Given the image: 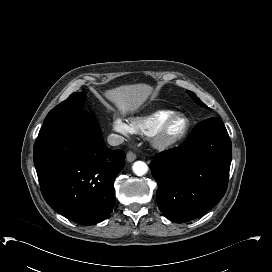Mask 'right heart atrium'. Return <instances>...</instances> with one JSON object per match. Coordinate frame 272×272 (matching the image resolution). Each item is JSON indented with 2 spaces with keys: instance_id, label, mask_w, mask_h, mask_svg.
Listing matches in <instances>:
<instances>
[{
  "instance_id": "obj_1",
  "label": "right heart atrium",
  "mask_w": 272,
  "mask_h": 272,
  "mask_svg": "<svg viewBox=\"0 0 272 272\" xmlns=\"http://www.w3.org/2000/svg\"><path fill=\"white\" fill-rule=\"evenodd\" d=\"M112 129L122 137H126L133 132L130 122L119 115L113 118Z\"/></svg>"
}]
</instances>
